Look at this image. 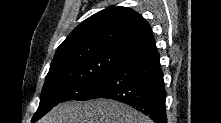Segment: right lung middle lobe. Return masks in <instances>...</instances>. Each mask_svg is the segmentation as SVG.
<instances>
[{
    "mask_svg": "<svg viewBox=\"0 0 221 123\" xmlns=\"http://www.w3.org/2000/svg\"><path fill=\"white\" fill-rule=\"evenodd\" d=\"M128 57L110 49L96 48L54 58L32 120L40 119L61 102L89 100L98 81Z\"/></svg>",
    "mask_w": 221,
    "mask_h": 123,
    "instance_id": "right-lung-middle-lobe-1",
    "label": "right lung middle lobe"
}]
</instances>
